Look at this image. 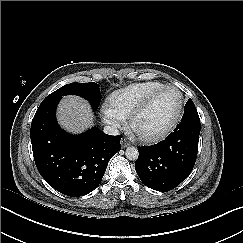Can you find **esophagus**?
Listing matches in <instances>:
<instances>
[{
    "label": "esophagus",
    "instance_id": "34e87169",
    "mask_svg": "<svg viewBox=\"0 0 243 243\" xmlns=\"http://www.w3.org/2000/svg\"><path fill=\"white\" fill-rule=\"evenodd\" d=\"M121 146H122V148H126V147L130 146V143L126 139H122Z\"/></svg>",
    "mask_w": 243,
    "mask_h": 243
}]
</instances>
